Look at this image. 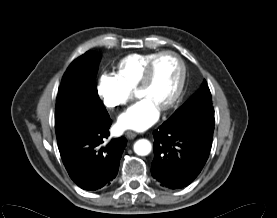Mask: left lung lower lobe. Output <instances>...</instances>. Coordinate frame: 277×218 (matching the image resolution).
I'll list each match as a JSON object with an SVG mask.
<instances>
[{"label": "left lung lower lobe", "instance_id": "1", "mask_svg": "<svg viewBox=\"0 0 277 218\" xmlns=\"http://www.w3.org/2000/svg\"><path fill=\"white\" fill-rule=\"evenodd\" d=\"M213 131L214 116L163 123L154 132L152 176L170 189L189 185L208 159Z\"/></svg>", "mask_w": 277, "mask_h": 218}]
</instances>
